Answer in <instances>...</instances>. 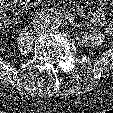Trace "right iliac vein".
I'll list each match as a JSON object with an SVG mask.
<instances>
[{"instance_id":"63e3f726","label":"right iliac vein","mask_w":113,"mask_h":113,"mask_svg":"<svg viewBox=\"0 0 113 113\" xmlns=\"http://www.w3.org/2000/svg\"><path fill=\"white\" fill-rule=\"evenodd\" d=\"M41 28L46 30L48 28V24L47 23H44Z\"/></svg>"}]
</instances>
